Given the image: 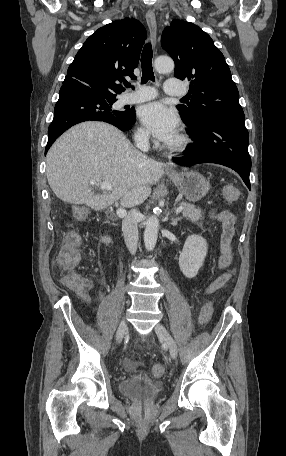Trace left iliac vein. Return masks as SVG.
Returning a JSON list of instances; mask_svg holds the SVG:
<instances>
[{
  "label": "left iliac vein",
  "mask_w": 286,
  "mask_h": 456,
  "mask_svg": "<svg viewBox=\"0 0 286 456\" xmlns=\"http://www.w3.org/2000/svg\"><path fill=\"white\" fill-rule=\"evenodd\" d=\"M155 333L160 339L164 340L168 345L171 358L176 359L178 354V347L175 340L168 332V330L162 324H157L155 326Z\"/></svg>",
  "instance_id": "left-iliac-vein-1"
}]
</instances>
